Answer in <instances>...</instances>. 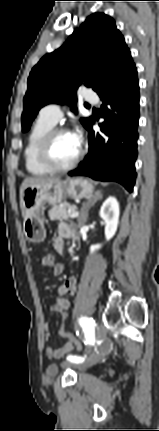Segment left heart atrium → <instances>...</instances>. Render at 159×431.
I'll list each match as a JSON object with an SVG mask.
<instances>
[{"mask_svg": "<svg viewBox=\"0 0 159 431\" xmlns=\"http://www.w3.org/2000/svg\"><path fill=\"white\" fill-rule=\"evenodd\" d=\"M76 145L80 148L82 144V136L78 130L70 133Z\"/></svg>", "mask_w": 159, "mask_h": 431, "instance_id": "39dd6f15", "label": "left heart atrium"}]
</instances>
